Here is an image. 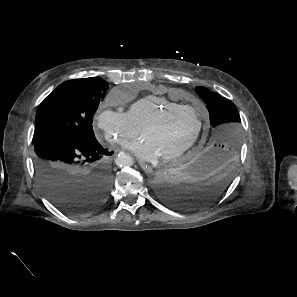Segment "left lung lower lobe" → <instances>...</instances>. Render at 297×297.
I'll list each match as a JSON object with an SVG mask.
<instances>
[{
    "mask_svg": "<svg viewBox=\"0 0 297 297\" xmlns=\"http://www.w3.org/2000/svg\"><path fill=\"white\" fill-rule=\"evenodd\" d=\"M236 155L209 146L154 177V190L168 206L197 210L216 201L230 185Z\"/></svg>",
    "mask_w": 297,
    "mask_h": 297,
    "instance_id": "0a47b994",
    "label": "left lung lower lobe"
}]
</instances>
